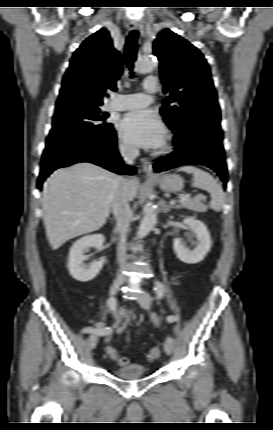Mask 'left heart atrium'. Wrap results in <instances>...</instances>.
I'll use <instances>...</instances> for the list:
<instances>
[{
	"mask_svg": "<svg viewBox=\"0 0 273 430\" xmlns=\"http://www.w3.org/2000/svg\"><path fill=\"white\" fill-rule=\"evenodd\" d=\"M118 129L129 144L138 147L158 148L165 139L163 123L150 110L127 113L121 119Z\"/></svg>",
	"mask_w": 273,
	"mask_h": 430,
	"instance_id": "left-heart-atrium-1",
	"label": "left heart atrium"
}]
</instances>
